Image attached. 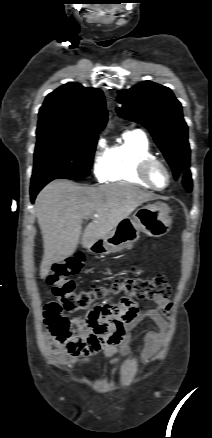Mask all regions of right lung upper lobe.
<instances>
[{
	"label": "right lung upper lobe",
	"instance_id": "right-lung-upper-lobe-1",
	"mask_svg": "<svg viewBox=\"0 0 212 438\" xmlns=\"http://www.w3.org/2000/svg\"><path fill=\"white\" fill-rule=\"evenodd\" d=\"M106 122L103 92L77 83H68L47 95L39 111L37 133L58 130L98 134Z\"/></svg>",
	"mask_w": 212,
	"mask_h": 438
}]
</instances>
